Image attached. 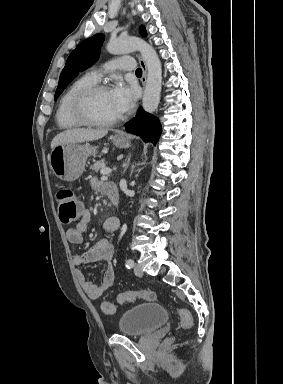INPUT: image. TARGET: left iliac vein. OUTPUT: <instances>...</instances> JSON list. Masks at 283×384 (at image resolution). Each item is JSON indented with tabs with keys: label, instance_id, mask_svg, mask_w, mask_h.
<instances>
[{
	"label": "left iliac vein",
	"instance_id": "4c4485c4",
	"mask_svg": "<svg viewBox=\"0 0 283 384\" xmlns=\"http://www.w3.org/2000/svg\"><path fill=\"white\" fill-rule=\"evenodd\" d=\"M134 274L138 277H142L143 276V271L141 269V267L138 265V264H135L134 266Z\"/></svg>",
	"mask_w": 283,
	"mask_h": 384
}]
</instances>
